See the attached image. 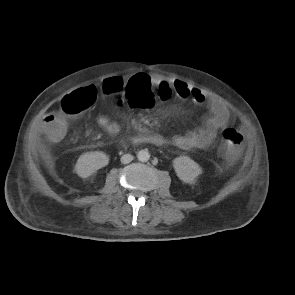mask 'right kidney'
I'll return each mask as SVG.
<instances>
[{
	"label": "right kidney",
	"instance_id": "ca27d5eb",
	"mask_svg": "<svg viewBox=\"0 0 295 295\" xmlns=\"http://www.w3.org/2000/svg\"><path fill=\"white\" fill-rule=\"evenodd\" d=\"M109 163L108 156L102 151L87 152L82 154L75 165L78 176L86 178L94 174L98 169Z\"/></svg>",
	"mask_w": 295,
	"mask_h": 295
}]
</instances>
